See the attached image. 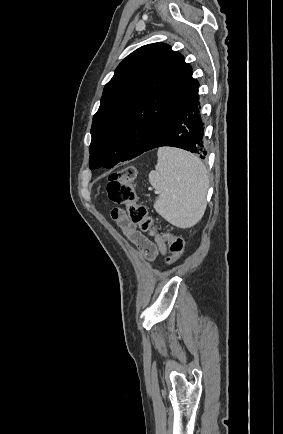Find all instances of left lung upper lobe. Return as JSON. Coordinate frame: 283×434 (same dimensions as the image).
<instances>
[{"mask_svg":"<svg viewBox=\"0 0 283 434\" xmlns=\"http://www.w3.org/2000/svg\"><path fill=\"white\" fill-rule=\"evenodd\" d=\"M198 87L192 67L169 45L132 52L105 85L93 117L90 168H111L142 154L167 116Z\"/></svg>","mask_w":283,"mask_h":434,"instance_id":"obj_1","label":"left lung upper lobe"}]
</instances>
